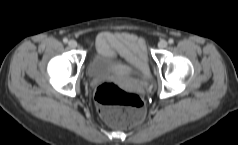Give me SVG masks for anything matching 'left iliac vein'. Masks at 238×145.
Instances as JSON below:
<instances>
[{"label":"left iliac vein","instance_id":"4c4485c4","mask_svg":"<svg viewBox=\"0 0 238 145\" xmlns=\"http://www.w3.org/2000/svg\"><path fill=\"white\" fill-rule=\"evenodd\" d=\"M167 45H168V43H167V41H165V40H161V41L159 42V44H158L159 48H161V49L166 48Z\"/></svg>","mask_w":238,"mask_h":145}]
</instances>
